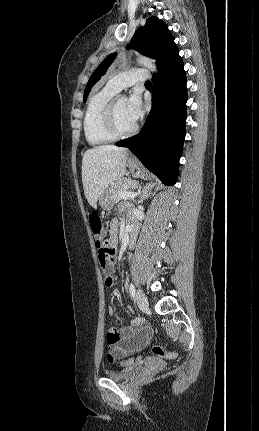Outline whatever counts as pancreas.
<instances>
[{"label":"pancreas","mask_w":259,"mask_h":431,"mask_svg":"<svg viewBox=\"0 0 259 431\" xmlns=\"http://www.w3.org/2000/svg\"><path fill=\"white\" fill-rule=\"evenodd\" d=\"M137 182L135 180H131L128 178H123L115 182V184L111 187V199L113 204L118 203L122 198L120 196L121 192L127 191V187L133 188L137 186Z\"/></svg>","instance_id":"1"}]
</instances>
